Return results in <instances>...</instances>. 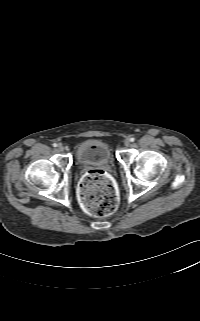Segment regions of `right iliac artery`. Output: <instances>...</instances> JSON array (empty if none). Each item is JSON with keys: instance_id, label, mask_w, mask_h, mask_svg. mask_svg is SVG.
Segmentation results:
<instances>
[{"instance_id": "82829eb1", "label": "right iliac artery", "mask_w": 200, "mask_h": 321, "mask_svg": "<svg viewBox=\"0 0 200 321\" xmlns=\"http://www.w3.org/2000/svg\"><path fill=\"white\" fill-rule=\"evenodd\" d=\"M53 147H57V144H56V143H54V144H53Z\"/></svg>"}]
</instances>
